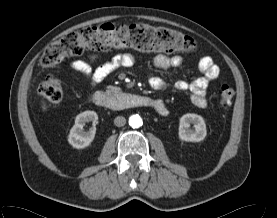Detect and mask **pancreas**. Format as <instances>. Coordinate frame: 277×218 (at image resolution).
Returning <instances> with one entry per match:
<instances>
[{"mask_svg": "<svg viewBox=\"0 0 277 218\" xmlns=\"http://www.w3.org/2000/svg\"><path fill=\"white\" fill-rule=\"evenodd\" d=\"M107 92L114 96H117L123 93L122 90L116 86H107Z\"/></svg>", "mask_w": 277, "mask_h": 218, "instance_id": "pancreas-1", "label": "pancreas"}]
</instances>
